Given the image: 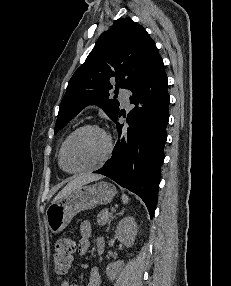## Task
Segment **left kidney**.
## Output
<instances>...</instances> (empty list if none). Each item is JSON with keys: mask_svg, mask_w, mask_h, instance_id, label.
Listing matches in <instances>:
<instances>
[{"mask_svg": "<svg viewBox=\"0 0 231 286\" xmlns=\"http://www.w3.org/2000/svg\"><path fill=\"white\" fill-rule=\"evenodd\" d=\"M115 235L126 247H131L134 244L137 235V224L134 217L127 216L121 219L116 227ZM123 265V261H117L107 265L106 275L109 280L113 281L116 279Z\"/></svg>", "mask_w": 231, "mask_h": 286, "instance_id": "1", "label": "left kidney"}]
</instances>
